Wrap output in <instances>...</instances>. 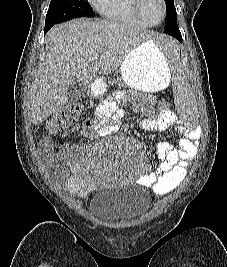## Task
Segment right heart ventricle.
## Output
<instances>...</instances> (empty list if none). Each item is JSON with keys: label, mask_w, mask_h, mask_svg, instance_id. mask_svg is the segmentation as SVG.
<instances>
[{"label": "right heart ventricle", "mask_w": 227, "mask_h": 267, "mask_svg": "<svg viewBox=\"0 0 227 267\" xmlns=\"http://www.w3.org/2000/svg\"><path fill=\"white\" fill-rule=\"evenodd\" d=\"M106 19L136 26L146 24L135 14L132 7V0H102L96 8Z\"/></svg>", "instance_id": "right-heart-ventricle-1"}]
</instances>
